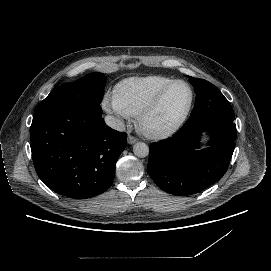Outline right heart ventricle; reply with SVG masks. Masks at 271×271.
<instances>
[{
    "instance_id": "right-heart-ventricle-1",
    "label": "right heart ventricle",
    "mask_w": 271,
    "mask_h": 271,
    "mask_svg": "<svg viewBox=\"0 0 271 271\" xmlns=\"http://www.w3.org/2000/svg\"><path fill=\"white\" fill-rule=\"evenodd\" d=\"M173 80L164 75L128 78L117 85V98L129 116L137 117Z\"/></svg>"
}]
</instances>
